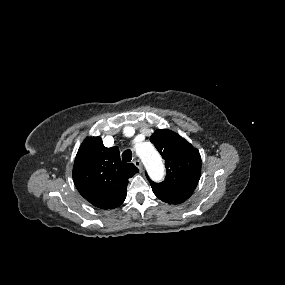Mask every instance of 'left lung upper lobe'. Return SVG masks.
Returning a JSON list of instances; mask_svg holds the SVG:
<instances>
[{"mask_svg":"<svg viewBox=\"0 0 285 285\" xmlns=\"http://www.w3.org/2000/svg\"><path fill=\"white\" fill-rule=\"evenodd\" d=\"M163 159L167 175L161 183L151 186L192 193L201 175L199 152L181 136L167 129H158L150 137Z\"/></svg>","mask_w":285,"mask_h":285,"instance_id":"left-lung-upper-lobe-1","label":"left lung upper lobe"}]
</instances>
